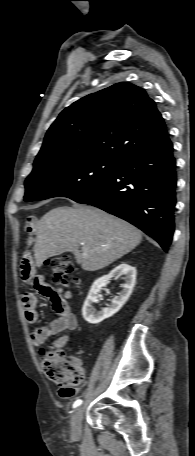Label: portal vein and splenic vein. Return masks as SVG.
Here are the masks:
<instances>
[{"instance_id": "portal-vein-and-splenic-vein-1", "label": "portal vein and splenic vein", "mask_w": 195, "mask_h": 456, "mask_svg": "<svg viewBox=\"0 0 195 456\" xmlns=\"http://www.w3.org/2000/svg\"><path fill=\"white\" fill-rule=\"evenodd\" d=\"M81 246H83V247H84V246H85V244H84V243H81Z\"/></svg>"}]
</instances>
